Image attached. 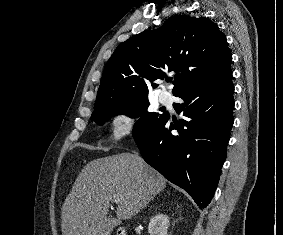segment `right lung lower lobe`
<instances>
[{
  "label": "right lung lower lobe",
  "mask_w": 283,
  "mask_h": 235,
  "mask_svg": "<svg viewBox=\"0 0 283 235\" xmlns=\"http://www.w3.org/2000/svg\"><path fill=\"white\" fill-rule=\"evenodd\" d=\"M232 73L187 87L174 96L184 118L169 114L134 137L143 159L167 180L186 190L199 208L210 203L226 158L233 119ZM177 130V133H172Z\"/></svg>",
  "instance_id": "98d812e1"
}]
</instances>
